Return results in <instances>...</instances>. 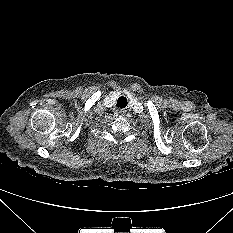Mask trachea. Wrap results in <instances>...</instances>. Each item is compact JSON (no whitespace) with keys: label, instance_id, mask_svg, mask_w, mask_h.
I'll use <instances>...</instances> for the list:
<instances>
[{"label":"trachea","instance_id":"3493384b","mask_svg":"<svg viewBox=\"0 0 233 233\" xmlns=\"http://www.w3.org/2000/svg\"><path fill=\"white\" fill-rule=\"evenodd\" d=\"M127 103L128 102H127L126 97L121 96V97L118 98L116 106L118 108H124V107H126Z\"/></svg>","mask_w":233,"mask_h":233}]
</instances>
